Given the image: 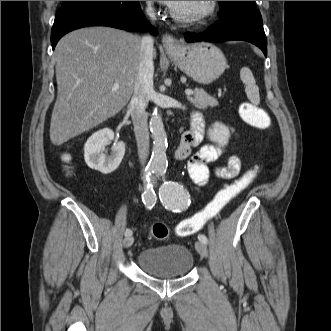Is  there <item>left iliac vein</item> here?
I'll return each mask as SVG.
<instances>
[{
    "label": "left iliac vein",
    "mask_w": 331,
    "mask_h": 331,
    "mask_svg": "<svg viewBox=\"0 0 331 331\" xmlns=\"http://www.w3.org/2000/svg\"><path fill=\"white\" fill-rule=\"evenodd\" d=\"M195 248L202 257L206 258L208 256L207 246L202 241H196Z\"/></svg>",
    "instance_id": "obj_1"
}]
</instances>
